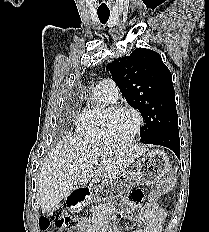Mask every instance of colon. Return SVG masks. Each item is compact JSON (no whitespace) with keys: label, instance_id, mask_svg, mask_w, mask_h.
Wrapping results in <instances>:
<instances>
[{"label":"colon","instance_id":"obj_1","mask_svg":"<svg viewBox=\"0 0 209 232\" xmlns=\"http://www.w3.org/2000/svg\"><path fill=\"white\" fill-rule=\"evenodd\" d=\"M81 221L78 218L68 214L62 207L52 209L48 215L41 216L38 221L41 230H47L50 225H53L59 230L65 232H76Z\"/></svg>","mask_w":209,"mask_h":232}]
</instances>
